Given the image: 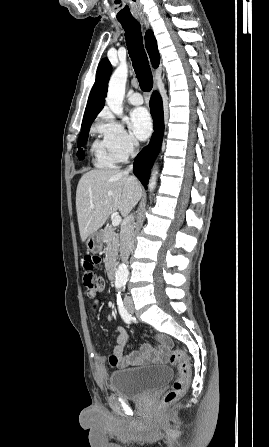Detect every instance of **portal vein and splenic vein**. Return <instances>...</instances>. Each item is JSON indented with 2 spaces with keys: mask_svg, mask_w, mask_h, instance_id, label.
Returning <instances> with one entry per match:
<instances>
[{
  "mask_svg": "<svg viewBox=\"0 0 269 447\" xmlns=\"http://www.w3.org/2000/svg\"><path fill=\"white\" fill-rule=\"evenodd\" d=\"M121 220H122L121 216H115V218H113L112 220V225H119Z\"/></svg>",
  "mask_w": 269,
  "mask_h": 447,
  "instance_id": "obj_1",
  "label": "portal vein and splenic vein"
}]
</instances>
